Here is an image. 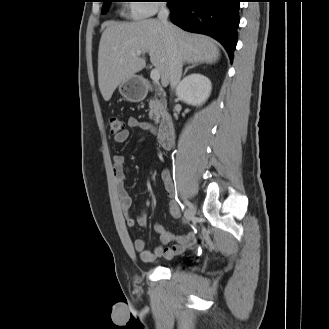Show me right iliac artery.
<instances>
[{
    "instance_id": "right-iliac-artery-1",
    "label": "right iliac artery",
    "mask_w": 329,
    "mask_h": 329,
    "mask_svg": "<svg viewBox=\"0 0 329 329\" xmlns=\"http://www.w3.org/2000/svg\"><path fill=\"white\" fill-rule=\"evenodd\" d=\"M184 204L186 205V206H188L189 208H191L193 205H192V203H190L189 201H187V200H184Z\"/></svg>"
}]
</instances>
